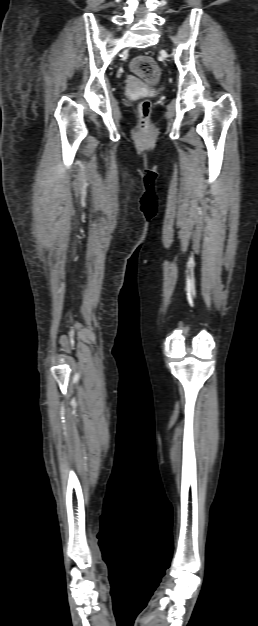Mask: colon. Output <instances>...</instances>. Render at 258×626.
I'll use <instances>...</instances> for the list:
<instances>
[{"label": "colon", "instance_id": "obj_1", "mask_svg": "<svg viewBox=\"0 0 258 626\" xmlns=\"http://www.w3.org/2000/svg\"><path fill=\"white\" fill-rule=\"evenodd\" d=\"M132 72L149 84H155L160 77V69L155 60L149 56L141 55L136 57L131 63ZM141 115V127L147 128L151 111V102L143 100L139 104Z\"/></svg>", "mask_w": 258, "mask_h": 626}]
</instances>
